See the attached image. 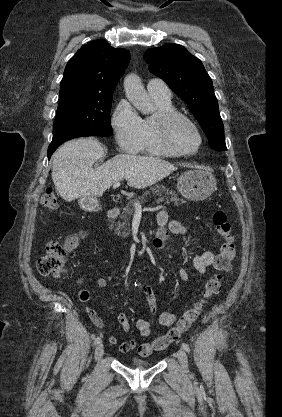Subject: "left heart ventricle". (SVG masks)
<instances>
[{"label":"left heart ventricle","instance_id":"obj_1","mask_svg":"<svg viewBox=\"0 0 282 417\" xmlns=\"http://www.w3.org/2000/svg\"><path fill=\"white\" fill-rule=\"evenodd\" d=\"M172 141L185 149L195 150L198 139L195 134L181 122H175L169 131Z\"/></svg>","mask_w":282,"mask_h":417}]
</instances>
